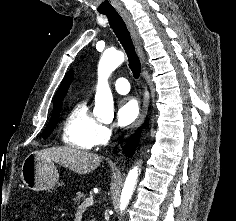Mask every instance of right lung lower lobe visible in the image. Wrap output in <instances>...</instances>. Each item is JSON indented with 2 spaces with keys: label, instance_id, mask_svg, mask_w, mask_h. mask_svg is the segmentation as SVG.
<instances>
[{
  "label": "right lung lower lobe",
  "instance_id": "obj_1",
  "mask_svg": "<svg viewBox=\"0 0 236 221\" xmlns=\"http://www.w3.org/2000/svg\"><path fill=\"white\" fill-rule=\"evenodd\" d=\"M138 137H139V132H137L135 134V136H133L129 141L128 144L126 146V148L128 149V153L129 152H134L136 146H137V142H138Z\"/></svg>",
  "mask_w": 236,
  "mask_h": 221
}]
</instances>
